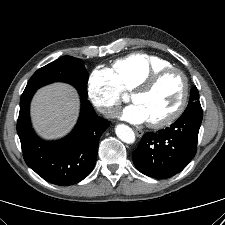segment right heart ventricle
Segmentation results:
<instances>
[{
	"label": "right heart ventricle",
	"instance_id": "e07e8e85",
	"mask_svg": "<svg viewBox=\"0 0 225 225\" xmlns=\"http://www.w3.org/2000/svg\"><path fill=\"white\" fill-rule=\"evenodd\" d=\"M171 64L157 56L135 52L116 60L111 70L122 90H133L152 73Z\"/></svg>",
	"mask_w": 225,
	"mask_h": 225
}]
</instances>
